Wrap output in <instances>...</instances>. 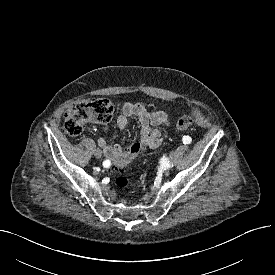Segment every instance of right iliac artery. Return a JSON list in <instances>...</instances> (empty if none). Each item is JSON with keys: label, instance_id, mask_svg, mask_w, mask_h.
Listing matches in <instances>:
<instances>
[{"label": "right iliac artery", "instance_id": "obj_1", "mask_svg": "<svg viewBox=\"0 0 275 275\" xmlns=\"http://www.w3.org/2000/svg\"><path fill=\"white\" fill-rule=\"evenodd\" d=\"M110 164H111V163H110V160H108V159L103 161V166H104V167H109Z\"/></svg>", "mask_w": 275, "mask_h": 275}]
</instances>
